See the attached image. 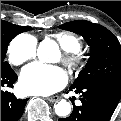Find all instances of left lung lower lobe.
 <instances>
[{
    "mask_svg": "<svg viewBox=\"0 0 121 121\" xmlns=\"http://www.w3.org/2000/svg\"><path fill=\"white\" fill-rule=\"evenodd\" d=\"M75 93H82V105L75 106L72 114L59 121H109L121 97L97 85L71 86Z\"/></svg>",
    "mask_w": 121,
    "mask_h": 121,
    "instance_id": "left-lung-lower-lobe-1",
    "label": "left lung lower lobe"
}]
</instances>
